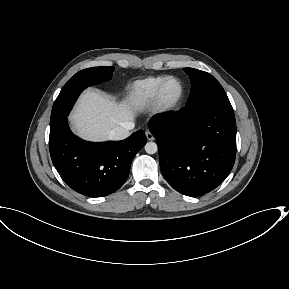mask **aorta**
<instances>
[{
    "mask_svg": "<svg viewBox=\"0 0 289 289\" xmlns=\"http://www.w3.org/2000/svg\"><path fill=\"white\" fill-rule=\"evenodd\" d=\"M145 151H146L148 154H155V153L158 151L157 144L154 143V142H148V143H146V145H145Z\"/></svg>",
    "mask_w": 289,
    "mask_h": 289,
    "instance_id": "obj_1",
    "label": "aorta"
}]
</instances>
